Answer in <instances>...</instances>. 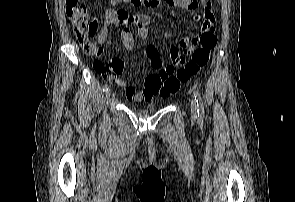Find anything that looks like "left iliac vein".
I'll use <instances>...</instances> for the list:
<instances>
[{"label": "left iliac vein", "instance_id": "left-iliac-vein-1", "mask_svg": "<svg viewBox=\"0 0 295 202\" xmlns=\"http://www.w3.org/2000/svg\"><path fill=\"white\" fill-rule=\"evenodd\" d=\"M190 110H191L192 117L195 118L197 116V108L193 100L190 101Z\"/></svg>", "mask_w": 295, "mask_h": 202}]
</instances>
